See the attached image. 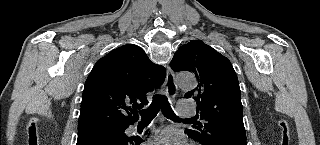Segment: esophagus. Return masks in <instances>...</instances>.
<instances>
[{"label":"esophagus","instance_id":"1","mask_svg":"<svg viewBox=\"0 0 320 145\" xmlns=\"http://www.w3.org/2000/svg\"><path fill=\"white\" fill-rule=\"evenodd\" d=\"M164 88H165V92L167 95H170L172 97H174L176 95L178 87H177V84L175 81L174 73L169 67L167 69Z\"/></svg>","mask_w":320,"mask_h":145}]
</instances>
